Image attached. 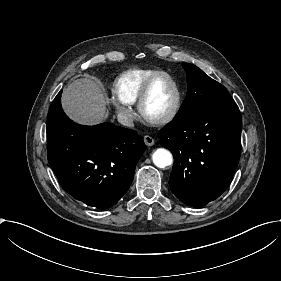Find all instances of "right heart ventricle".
I'll use <instances>...</instances> for the list:
<instances>
[{"mask_svg": "<svg viewBox=\"0 0 281 281\" xmlns=\"http://www.w3.org/2000/svg\"><path fill=\"white\" fill-rule=\"evenodd\" d=\"M167 73L162 69L140 68L120 74L113 83V91L117 99L126 105L137 102L146 82L153 76Z\"/></svg>", "mask_w": 281, "mask_h": 281, "instance_id": "1", "label": "right heart ventricle"}]
</instances>
